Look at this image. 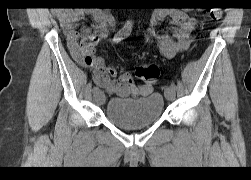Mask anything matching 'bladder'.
<instances>
[{
	"mask_svg": "<svg viewBox=\"0 0 251 180\" xmlns=\"http://www.w3.org/2000/svg\"><path fill=\"white\" fill-rule=\"evenodd\" d=\"M163 110V96L154 92L139 99H110L106 106V117L120 128L135 129L157 122L161 118Z\"/></svg>",
	"mask_w": 251,
	"mask_h": 180,
	"instance_id": "1",
	"label": "bladder"
}]
</instances>
